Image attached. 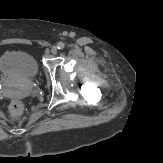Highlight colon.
<instances>
[{
  "instance_id": "1",
  "label": "colon",
  "mask_w": 163,
  "mask_h": 163,
  "mask_svg": "<svg viewBox=\"0 0 163 163\" xmlns=\"http://www.w3.org/2000/svg\"><path fill=\"white\" fill-rule=\"evenodd\" d=\"M23 109V104L20 101H13L10 105V110L14 116H20Z\"/></svg>"
}]
</instances>
